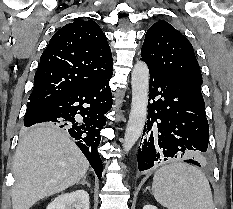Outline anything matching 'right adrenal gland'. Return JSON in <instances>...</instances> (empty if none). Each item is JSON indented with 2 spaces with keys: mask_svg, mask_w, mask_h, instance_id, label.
Listing matches in <instances>:
<instances>
[{
  "mask_svg": "<svg viewBox=\"0 0 233 209\" xmlns=\"http://www.w3.org/2000/svg\"><path fill=\"white\" fill-rule=\"evenodd\" d=\"M86 177H87V174L83 177L82 181L78 182L77 184H83V185L86 184L90 188L91 185L86 181Z\"/></svg>",
  "mask_w": 233,
  "mask_h": 209,
  "instance_id": "obj_1",
  "label": "right adrenal gland"
}]
</instances>
